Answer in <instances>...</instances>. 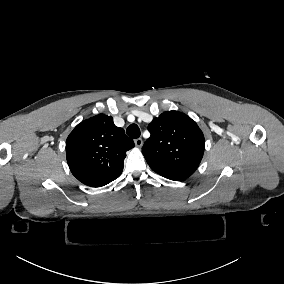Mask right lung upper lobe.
I'll return each mask as SVG.
<instances>
[{
    "instance_id": "obj_1",
    "label": "right lung upper lobe",
    "mask_w": 284,
    "mask_h": 284,
    "mask_svg": "<svg viewBox=\"0 0 284 284\" xmlns=\"http://www.w3.org/2000/svg\"><path fill=\"white\" fill-rule=\"evenodd\" d=\"M132 139L113 118L104 114L82 121L66 140L67 162L72 174L90 187L104 186L120 176Z\"/></svg>"
}]
</instances>
